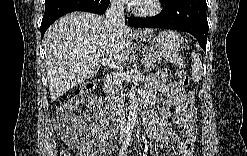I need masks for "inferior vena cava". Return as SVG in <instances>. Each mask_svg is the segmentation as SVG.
<instances>
[{"label":"inferior vena cava","instance_id":"obj_1","mask_svg":"<svg viewBox=\"0 0 247 156\" xmlns=\"http://www.w3.org/2000/svg\"><path fill=\"white\" fill-rule=\"evenodd\" d=\"M106 22L110 28H119L125 26V17H124V7L123 3L120 0H113L109 8L106 11ZM108 91H109V101L114 111L117 122H119L120 129L124 130L122 125L125 120L123 100L119 96L121 89V82L119 81L118 72H113L111 79L107 82Z\"/></svg>","mask_w":247,"mask_h":156}]
</instances>
